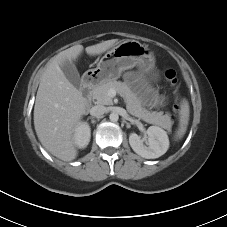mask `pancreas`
<instances>
[{
	"label": "pancreas",
	"mask_w": 227,
	"mask_h": 227,
	"mask_svg": "<svg viewBox=\"0 0 227 227\" xmlns=\"http://www.w3.org/2000/svg\"><path fill=\"white\" fill-rule=\"evenodd\" d=\"M110 89H114L124 97L126 108L131 115L142 119L147 123L158 125L171 131L172 121L170 115L163 114L162 111H148L145 109L136 95L132 93L124 82L116 80L103 82L91 91V96L96 100L97 104L112 105V98L108 94Z\"/></svg>",
	"instance_id": "pancreas-1"
}]
</instances>
